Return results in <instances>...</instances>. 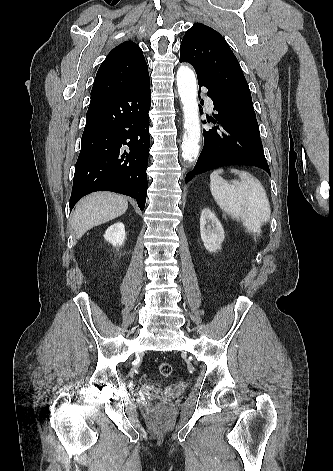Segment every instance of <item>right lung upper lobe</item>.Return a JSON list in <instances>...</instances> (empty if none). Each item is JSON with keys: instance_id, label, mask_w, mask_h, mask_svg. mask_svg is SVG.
<instances>
[{"instance_id": "1", "label": "right lung upper lobe", "mask_w": 333, "mask_h": 471, "mask_svg": "<svg viewBox=\"0 0 333 471\" xmlns=\"http://www.w3.org/2000/svg\"><path fill=\"white\" fill-rule=\"evenodd\" d=\"M141 48L126 41L110 51L101 64L91 91V102L125 92L148 76Z\"/></svg>"}]
</instances>
